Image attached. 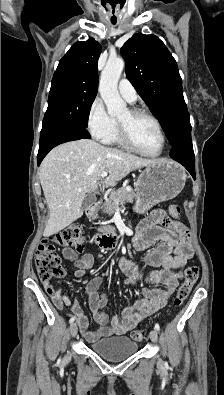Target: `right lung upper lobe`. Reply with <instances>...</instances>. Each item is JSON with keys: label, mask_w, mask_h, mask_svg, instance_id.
<instances>
[{"label": "right lung upper lobe", "mask_w": 224, "mask_h": 395, "mask_svg": "<svg viewBox=\"0 0 224 395\" xmlns=\"http://www.w3.org/2000/svg\"><path fill=\"white\" fill-rule=\"evenodd\" d=\"M100 54L101 45L94 38L76 42L59 61L52 80L97 90V61Z\"/></svg>", "instance_id": "obj_1"}]
</instances>
